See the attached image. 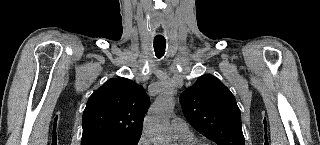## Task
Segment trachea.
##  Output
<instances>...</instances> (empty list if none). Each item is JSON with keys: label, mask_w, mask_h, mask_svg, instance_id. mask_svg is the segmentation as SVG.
<instances>
[{"label": "trachea", "mask_w": 320, "mask_h": 145, "mask_svg": "<svg viewBox=\"0 0 320 145\" xmlns=\"http://www.w3.org/2000/svg\"><path fill=\"white\" fill-rule=\"evenodd\" d=\"M166 40L163 37L154 38V51L157 58H161L165 54Z\"/></svg>", "instance_id": "trachea-1"}]
</instances>
